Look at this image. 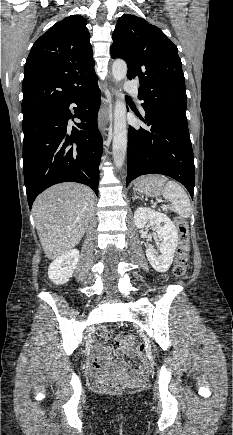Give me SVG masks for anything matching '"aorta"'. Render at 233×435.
Listing matches in <instances>:
<instances>
[{"label":"aorta","mask_w":233,"mask_h":435,"mask_svg":"<svg viewBox=\"0 0 233 435\" xmlns=\"http://www.w3.org/2000/svg\"><path fill=\"white\" fill-rule=\"evenodd\" d=\"M127 64L123 60H116L112 65V75L116 83L122 81L127 75ZM126 105L124 98L118 94L114 112V133H113V159L117 168L122 167L127 151V125Z\"/></svg>","instance_id":"aorta-1"}]
</instances>
